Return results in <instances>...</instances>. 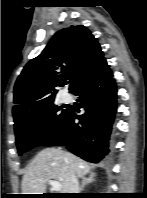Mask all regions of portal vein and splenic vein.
I'll return each mask as SVG.
<instances>
[{"label": "portal vein and splenic vein", "mask_w": 147, "mask_h": 198, "mask_svg": "<svg viewBox=\"0 0 147 198\" xmlns=\"http://www.w3.org/2000/svg\"><path fill=\"white\" fill-rule=\"evenodd\" d=\"M49 184L54 191L59 192L61 190V183L59 181L49 180Z\"/></svg>", "instance_id": "1"}]
</instances>
